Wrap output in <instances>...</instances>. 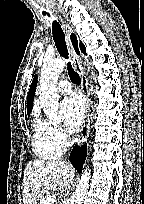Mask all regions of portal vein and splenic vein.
<instances>
[{
	"instance_id": "obj_1",
	"label": "portal vein and splenic vein",
	"mask_w": 144,
	"mask_h": 204,
	"mask_svg": "<svg viewBox=\"0 0 144 204\" xmlns=\"http://www.w3.org/2000/svg\"><path fill=\"white\" fill-rule=\"evenodd\" d=\"M55 199H56L55 195L48 196L43 204H54L56 201Z\"/></svg>"
}]
</instances>
